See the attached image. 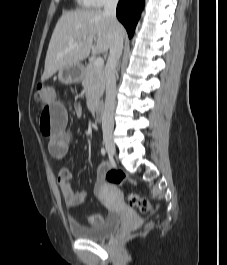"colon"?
Segmentation results:
<instances>
[{"instance_id": "1", "label": "colon", "mask_w": 227, "mask_h": 265, "mask_svg": "<svg viewBox=\"0 0 227 265\" xmlns=\"http://www.w3.org/2000/svg\"><path fill=\"white\" fill-rule=\"evenodd\" d=\"M53 97V92L51 88L45 84H38L36 88V98L40 105V112L41 109H44L45 102H49L50 99ZM106 181L110 184L123 186L126 182L134 183V180L124 174L119 170H109L105 174ZM127 201L129 205L138 208L141 212H147L150 209L149 201L144 198L140 197L136 194L129 193L127 196Z\"/></svg>"}]
</instances>
